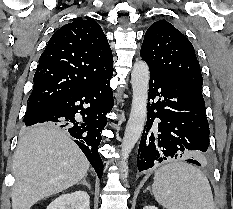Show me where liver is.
I'll return each mask as SVG.
<instances>
[{
	"label": "liver",
	"instance_id": "1",
	"mask_svg": "<svg viewBox=\"0 0 233 209\" xmlns=\"http://www.w3.org/2000/svg\"><path fill=\"white\" fill-rule=\"evenodd\" d=\"M89 166L66 131L48 123L31 128L21 136L14 154L12 209H30L79 183Z\"/></svg>",
	"mask_w": 233,
	"mask_h": 209
}]
</instances>
